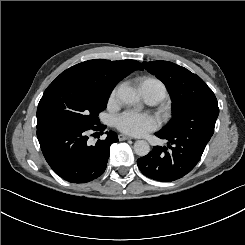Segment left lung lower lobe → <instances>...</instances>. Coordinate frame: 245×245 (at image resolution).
Segmentation results:
<instances>
[{
    "mask_svg": "<svg viewBox=\"0 0 245 245\" xmlns=\"http://www.w3.org/2000/svg\"><path fill=\"white\" fill-rule=\"evenodd\" d=\"M216 120L202 116L201 120L172 133L156 132L168 141L167 147L156 146L148 155L137 160L140 171L156 181L178 180L193 170L213 135ZM169 148V149H168Z\"/></svg>",
    "mask_w": 245,
    "mask_h": 245,
    "instance_id": "left-lung-lower-lobe-1",
    "label": "left lung lower lobe"
}]
</instances>
